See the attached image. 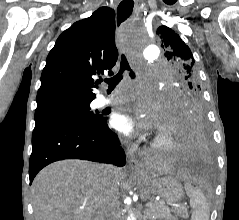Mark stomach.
Masks as SVG:
<instances>
[{
    "label": "stomach",
    "instance_id": "stomach-1",
    "mask_svg": "<svg viewBox=\"0 0 239 220\" xmlns=\"http://www.w3.org/2000/svg\"><path fill=\"white\" fill-rule=\"evenodd\" d=\"M141 186H151V191L164 198L166 201L176 203L184 196V190L178 179L169 178H153V183H140ZM167 210H180V205H167ZM166 220H181L183 212H165Z\"/></svg>",
    "mask_w": 239,
    "mask_h": 220
}]
</instances>
